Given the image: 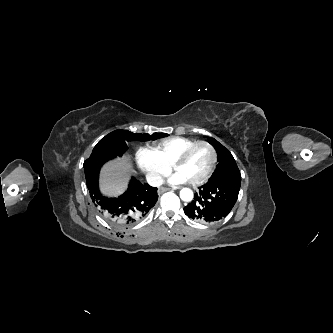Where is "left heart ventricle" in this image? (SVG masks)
I'll use <instances>...</instances> for the list:
<instances>
[{"label":"left heart ventricle","instance_id":"left-heart-ventricle-1","mask_svg":"<svg viewBox=\"0 0 333 333\" xmlns=\"http://www.w3.org/2000/svg\"><path fill=\"white\" fill-rule=\"evenodd\" d=\"M212 152L205 146H198L192 150L187 160L179 165L175 171L182 174L188 182L202 177L212 162Z\"/></svg>","mask_w":333,"mask_h":333}]
</instances>
